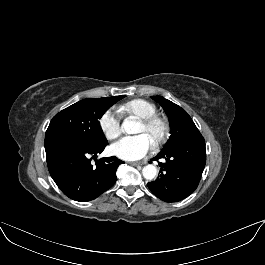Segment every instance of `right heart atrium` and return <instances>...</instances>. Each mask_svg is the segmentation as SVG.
<instances>
[{
  "label": "right heart atrium",
  "instance_id": "d8ad5b80",
  "mask_svg": "<svg viewBox=\"0 0 265 265\" xmlns=\"http://www.w3.org/2000/svg\"><path fill=\"white\" fill-rule=\"evenodd\" d=\"M99 127L108 140H114L121 134V116L113 109L106 110L99 118Z\"/></svg>",
  "mask_w": 265,
  "mask_h": 265
}]
</instances>
